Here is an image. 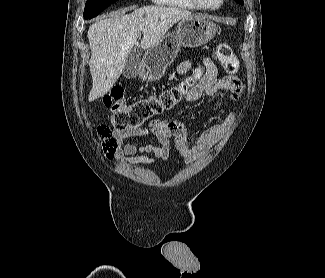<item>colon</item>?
<instances>
[{"instance_id": "obj_1", "label": "colon", "mask_w": 325, "mask_h": 278, "mask_svg": "<svg viewBox=\"0 0 325 278\" xmlns=\"http://www.w3.org/2000/svg\"><path fill=\"white\" fill-rule=\"evenodd\" d=\"M215 58L228 75L237 74L239 60L230 45L226 43L219 44L215 51ZM196 79L197 75H193L178 85L131 104L125 102V93L122 88H112L103 97V103L109 112L113 130L140 128L147 121L169 111L190 91ZM96 130L102 141L103 151L107 154L114 153L116 142L111 127L101 124L97 126Z\"/></svg>"}]
</instances>
